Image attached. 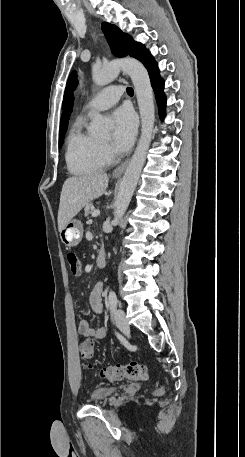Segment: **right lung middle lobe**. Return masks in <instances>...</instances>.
Returning a JSON list of instances; mask_svg holds the SVG:
<instances>
[{"mask_svg": "<svg viewBox=\"0 0 245 457\" xmlns=\"http://www.w3.org/2000/svg\"><path fill=\"white\" fill-rule=\"evenodd\" d=\"M67 128H61L60 129V135H59V148L63 144V139H64V134L66 133Z\"/></svg>", "mask_w": 245, "mask_h": 457, "instance_id": "1", "label": "right lung middle lobe"}]
</instances>
